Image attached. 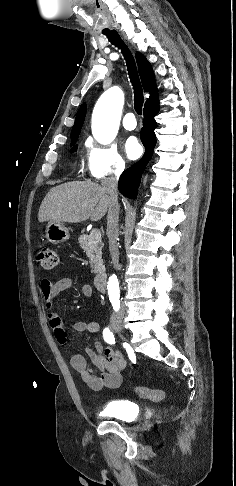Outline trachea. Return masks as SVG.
<instances>
[{"label": "trachea", "mask_w": 236, "mask_h": 486, "mask_svg": "<svg viewBox=\"0 0 236 486\" xmlns=\"http://www.w3.org/2000/svg\"><path fill=\"white\" fill-rule=\"evenodd\" d=\"M103 34L107 35L112 44L122 50L126 60L129 78L134 89V109L137 114L141 115L144 96L134 57L115 30L109 31L107 29L103 31Z\"/></svg>", "instance_id": "3493384b"}]
</instances>
